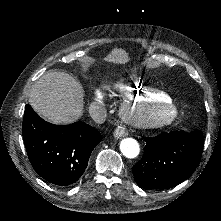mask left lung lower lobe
<instances>
[{"label": "left lung lower lobe", "mask_w": 221, "mask_h": 221, "mask_svg": "<svg viewBox=\"0 0 221 221\" xmlns=\"http://www.w3.org/2000/svg\"><path fill=\"white\" fill-rule=\"evenodd\" d=\"M144 155L132 171L144 189H168L185 181L199 164L203 151L202 132L174 131L143 137Z\"/></svg>", "instance_id": "obj_1"}]
</instances>
